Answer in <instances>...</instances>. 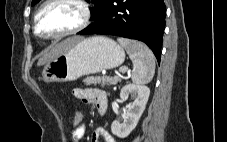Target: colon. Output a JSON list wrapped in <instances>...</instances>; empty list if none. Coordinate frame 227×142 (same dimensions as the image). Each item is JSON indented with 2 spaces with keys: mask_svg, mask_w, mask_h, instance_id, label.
I'll return each instance as SVG.
<instances>
[{
  "mask_svg": "<svg viewBox=\"0 0 227 142\" xmlns=\"http://www.w3.org/2000/svg\"><path fill=\"white\" fill-rule=\"evenodd\" d=\"M72 121H73V130H77L85 124L82 113L76 109L72 111Z\"/></svg>",
  "mask_w": 227,
  "mask_h": 142,
  "instance_id": "1",
  "label": "colon"
}]
</instances>
